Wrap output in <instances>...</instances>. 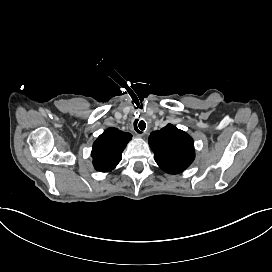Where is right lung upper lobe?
Returning <instances> with one entry per match:
<instances>
[{"label": "right lung upper lobe", "mask_w": 272, "mask_h": 272, "mask_svg": "<svg viewBox=\"0 0 272 272\" xmlns=\"http://www.w3.org/2000/svg\"><path fill=\"white\" fill-rule=\"evenodd\" d=\"M131 138L130 133H124L116 128L111 127L104 131L92 148L95 169L100 172L112 171L121 161L122 152Z\"/></svg>", "instance_id": "1"}]
</instances>
